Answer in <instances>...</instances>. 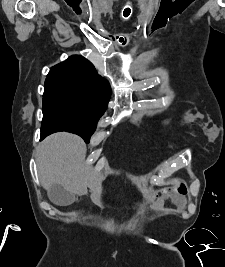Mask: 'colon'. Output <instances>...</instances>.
Instances as JSON below:
<instances>
[{
    "label": "colon",
    "instance_id": "1",
    "mask_svg": "<svg viewBox=\"0 0 225 267\" xmlns=\"http://www.w3.org/2000/svg\"><path fill=\"white\" fill-rule=\"evenodd\" d=\"M125 9H127L126 10V14L127 15H130V13H131L130 6H126ZM169 190H170L169 188H162V189H159V190L152 189L150 191V200L156 199L161 194H166ZM173 190L178 191V192H181L183 190V186L182 185L176 186V187L173 188Z\"/></svg>",
    "mask_w": 225,
    "mask_h": 267
}]
</instances>
